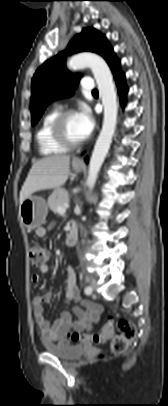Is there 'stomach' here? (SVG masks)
I'll return each instance as SVG.
<instances>
[{
    "label": "stomach",
    "mask_w": 168,
    "mask_h": 406,
    "mask_svg": "<svg viewBox=\"0 0 168 406\" xmlns=\"http://www.w3.org/2000/svg\"><path fill=\"white\" fill-rule=\"evenodd\" d=\"M72 167L76 172L83 170L84 165L72 162ZM48 206L45 200L38 196H30L19 206V216L21 222L28 229L40 227L46 219Z\"/></svg>",
    "instance_id": "0dacf381"
}]
</instances>
